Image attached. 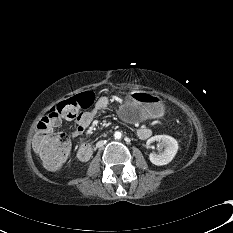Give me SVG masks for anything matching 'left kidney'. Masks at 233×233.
Masks as SVG:
<instances>
[{
  "mask_svg": "<svg viewBox=\"0 0 233 233\" xmlns=\"http://www.w3.org/2000/svg\"><path fill=\"white\" fill-rule=\"evenodd\" d=\"M161 142L164 147V151L159 154L151 153L149 159L151 163L157 166L166 165L173 160L177 151L178 143L176 139L169 135H156L147 140V148L150 147V144L153 142Z\"/></svg>",
  "mask_w": 233,
  "mask_h": 233,
  "instance_id": "obj_1",
  "label": "left kidney"
}]
</instances>
